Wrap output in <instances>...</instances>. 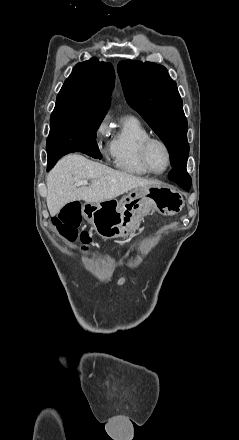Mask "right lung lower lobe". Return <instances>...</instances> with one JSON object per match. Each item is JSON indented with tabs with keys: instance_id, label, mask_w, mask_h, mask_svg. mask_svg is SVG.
I'll list each match as a JSON object with an SVG mask.
<instances>
[{
	"instance_id": "obj_1",
	"label": "right lung lower lobe",
	"mask_w": 239,
	"mask_h": 440,
	"mask_svg": "<svg viewBox=\"0 0 239 440\" xmlns=\"http://www.w3.org/2000/svg\"><path fill=\"white\" fill-rule=\"evenodd\" d=\"M70 152H81V153H85L93 158H98V159L102 158V155L99 152L97 144L85 145V146L57 152L52 155H48V169L47 170L49 171L55 165V163L57 162V160L59 158H61L63 155L70 153Z\"/></svg>"
}]
</instances>
